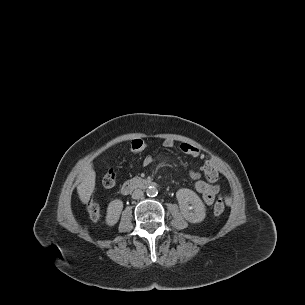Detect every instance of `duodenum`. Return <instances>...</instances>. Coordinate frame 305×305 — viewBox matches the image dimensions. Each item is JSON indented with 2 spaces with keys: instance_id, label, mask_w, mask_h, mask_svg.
Returning <instances> with one entry per match:
<instances>
[{
  "instance_id": "1",
  "label": "duodenum",
  "mask_w": 305,
  "mask_h": 305,
  "mask_svg": "<svg viewBox=\"0 0 305 305\" xmlns=\"http://www.w3.org/2000/svg\"><path fill=\"white\" fill-rule=\"evenodd\" d=\"M158 183L149 180V179H142V178H134L126 181L122 187H121V192L122 194H129L135 189H147L149 187H155L157 186Z\"/></svg>"
}]
</instances>
